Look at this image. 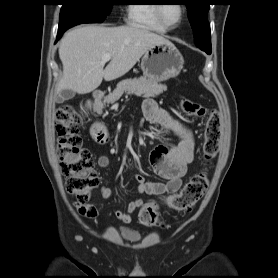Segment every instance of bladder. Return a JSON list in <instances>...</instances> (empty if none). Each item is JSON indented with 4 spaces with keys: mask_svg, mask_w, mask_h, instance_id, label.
<instances>
[{
    "mask_svg": "<svg viewBox=\"0 0 278 278\" xmlns=\"http://www.w3.org/2000/svg\"><path fill=\"white\" fill-rule=\"evenodd\" d=\"M122 235L125 239L129 240V241H136L138 239V236L133 234V233H130L128 231H123L122 232Z\"/></svg>",
    "mask_w": 278,
    "mask_h": 278,
    "instance_id": "31cf9c89",
    "label": "bladder"
}]
</instances>
